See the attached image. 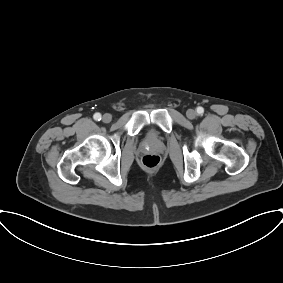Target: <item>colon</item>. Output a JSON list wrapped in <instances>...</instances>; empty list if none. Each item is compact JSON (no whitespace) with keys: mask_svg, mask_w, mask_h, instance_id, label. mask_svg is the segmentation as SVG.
I'll use <instances>...</instances> for the list:
<instances>
[{"mask_svg":"<svg viewBox=\"0 0 283 283\" xmlns=\"http://www.w3.org/2000/svg\"><path fill=\"white\" fill-rule=\"evenodd\" d=\"M142 164L148 169H154L160 164V157L155 154H147L142 158Z\"/></svg>","mask_w":283,"mask_h":283,"instance_id":"1","label":"colon"}]
</instances>
